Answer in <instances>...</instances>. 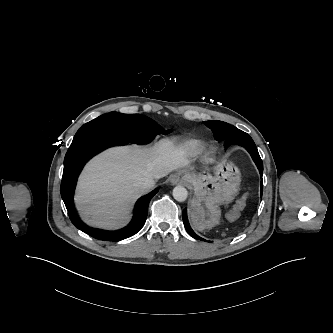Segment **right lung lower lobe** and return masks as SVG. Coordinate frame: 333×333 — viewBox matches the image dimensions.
Listing matches in <instances>:
<instances>
[{"label": "right lung lower lobe", "instance_id": "1", "mask_svg": "<svg viewBox=\"0 0 333 333\" xmlns=\"http://www.w3.org/2000/svg\"><path fill=\"white\" fill-rule=\"evenodd\" d=\"M129 142L114 135L93 131L74 137L64 159V170L61 182V196L67 208L70 220L75 227L89 236L104 241H120L136 234L147 218L148 204L158 189L141 197L136 203L132 222L118 231H105L91 228L82 223L75 211L73 195L78 175L84 164L98 152L115 145H126Z\"/></svg>", "mask_w": 333, "mask_h": 333}]
</instances>
